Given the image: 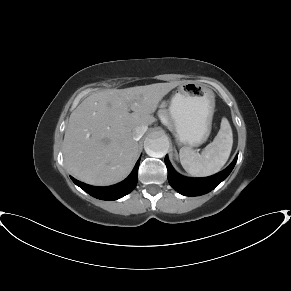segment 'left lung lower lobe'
Masks as SVG:
<instances>
[{
  "label": "left lung lower lobe",
  "instance_id": "left-lung-lower-lobe-1",
  "mask_svg": "<svg viewBox=\"0 0 291 291\" xmlns=\"http://www.w3.org/2000/svg\"><path fill=\"white\" fill-rule=\"evenodd\" d=\"M238 156L233 162L223 171L206 178H188L177 173L165 157V164L168 170L169 184L180 194L185 196H199L213 190L220 182H222L234 168Z\"/></svg>",
  "mask_w": 291,
  "mask_h": 291
}]
</instances>
